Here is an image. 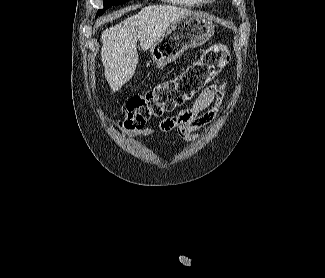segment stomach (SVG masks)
I'll return each mask as SVG.
<instances>
[{"label":"stomach","mask_w":325,"mask_h":278,"mask_svg":"<svg viewBox=\"0 0 325 278\" xmlns=\"http://www.w3.org/2000/svg\"><path fill=\"white\" fill-rule=\"evenodd\" d=\"M214 31L213 23L202 15L194 13L181 17L150 48L152 60L158 67L175 61L187 49L205 44Z\"/></svg>","instance_id":"obj_1"}]
</instances>
